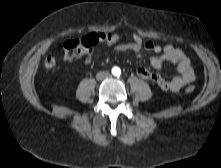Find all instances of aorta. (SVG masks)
I'll list each match as a JSON object with an SVG mask.
<instances>
[{
    "mask_svg": "<svg viewBox=\"0 0 221 168\" xmlns=\"http://www.w3.org/2000/svg\"><path fill=\"white\" fill-rule=\"evenodd\" d=\"M119 72H120V70H119L118 68H114V69H113V73H114V74H119Z\"/></svg>",
    "mask_w": 221,
    "mask_h": 168,
    "instance_id": "762f6f07",
    "label": "aorta"
}]
</instances>
